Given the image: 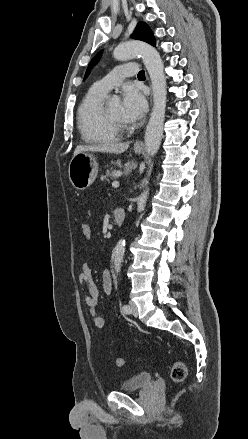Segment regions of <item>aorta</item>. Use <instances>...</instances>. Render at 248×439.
<instances>
[{
  "label": "aorta",
  "instance_id": "aorta-1",
  "mask_svg": "<svg viewBox=\"0 0 248 439\" xmlns=\"http://www.w3.org/2000/svg\"><path fill=\"white\" fill-rule=\"evenodd\" d=\"M113 55L117 60H127L141 56L149 73L153 92V108L145 131V146L147 153L153 156L159 150L165 120L167 90L162 59L154 47L141 41H130L119 44L114 49ZM148 194L149 190H145L137 198L138 211L144 210ZM124 253L125 240L120 239L114 248L113 259L116 272L121 268Z\"/></svg>",
  "mask_w": 248,
  "mask_h": 439
}]
</instances>
